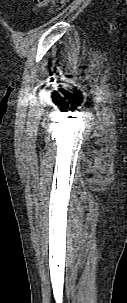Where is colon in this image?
<instances>
[{
	"label": "colon",
	"mask_w": 127,
	"mask_h": 303,
	"mask_svg": "<svg viewBox=\"0 0 127 303\" xmlns=\"http://www.w3.org/2000/svg\"><path fill=\"white\" fill-rule=\"evenodd\" d=\"M68 0H34L35 5L38 8H44L49 5H53L57 8L62 7Z\"/></svg>",
	"instance_id": "obj_1"
}]
</instances>
